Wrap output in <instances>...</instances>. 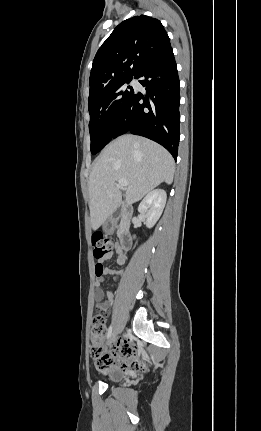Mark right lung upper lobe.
<instances>
[{
  "mask_svg": "<svg viewBox=\"0 0 261 431\" xmlns=\"http://www.w3.org/2000/svg\"><path fill=\"white\" fill-rule=\"evenodd\" d=\"M169 47V37L158 19L141 15L123 21L95 55L90 93L136 77L147 63Z\"/></svg>",
  "mask_w": 261,
  "mask_h": 431,
  "instance_id": "cb5924a9",
  "label": "right lung upper lobe"
}]
</instances>
